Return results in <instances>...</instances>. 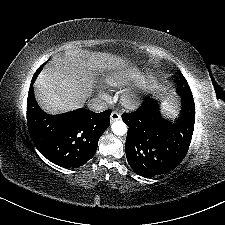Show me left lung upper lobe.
Wrapping results in <instances>:
<instances>
[{
  "mask_svg": "<svg viewBox=\"0 0 225 225\" xmlns=\"http://www.w3.org/2000/svg\"><path fill=\"white\" fill-rule=\"evenodd\" d=\"M178 91L180 95H191V92L189 91L188 85L184 78H182V83L180 84Z\"/></svg>",
  "mask_w": 225,
  "mask_h": 225,
  "instance_id": "left-lung-upper-lobe-1",
  "label": "left lung upper lobe"
}]
</instances>
